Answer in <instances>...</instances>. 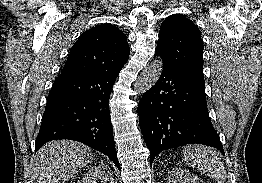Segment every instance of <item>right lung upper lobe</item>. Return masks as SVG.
<instances>
[{"instance_id": "cb5924a9", "label": "right lung upper lobe", "mask_w": 262, "mask_h": 183, "mask_svg": "<svg viewBox=\"0 0 262 183\" xmlns=\"http://www.w3.org/2000/svg\"><path fill=\"white\" fill-rule=\"evenodd\" d=\"M130 48L126 35L111 24L86 30L72 46L60 75H80L121 70Z\"/></svg>"}]
</instances>
